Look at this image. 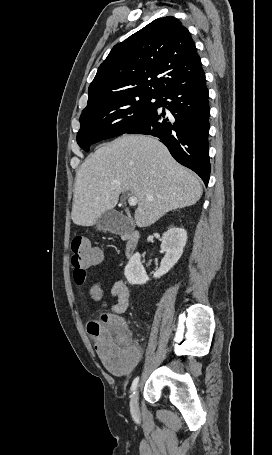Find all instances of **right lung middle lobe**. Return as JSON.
<instances>
[{
    "instance_id": "obj_1",
    "label": "right lung middle lobe",
    "mask_w": 272,
    "mask_h": 455,
    "mask_svg": "<svg viewBox=\"0 0 272 455\" xmlns=\"http://www.w3.org/2000/svg\"><path fill=\"white\" fill-rule=\"evenodd\" d=\"M159 101V95H135L83 112L77 143L89 151L91 144L126 133L149 116Z\"/></svg>"
}]
</instances>
